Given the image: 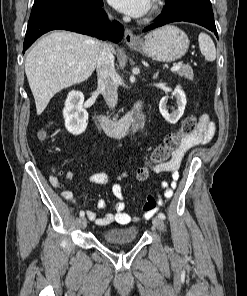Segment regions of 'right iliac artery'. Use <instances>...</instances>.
<instances>
[{"label":"right iliac artery","mask_w":247,"mask_h":296,"mask_svg":"<svg viewBox=\"0 0 247 296\" xmlns=\"http://www.w3.org/2000/svg\"><path fill=\"white\" fill-rule=\"evenodd\" d=\"M80 217H83L85 215L84 211H80Z\"/></svg>","instance_id":"obj_1"}]
</instances>
